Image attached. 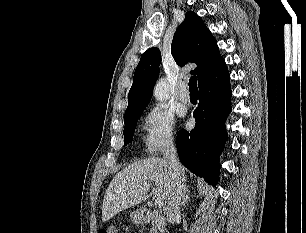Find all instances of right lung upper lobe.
Returning <instances> with one entry per match:
<instances>
[{
	"label": "right lung upper lobe",
	"instance_id": "obj_1",
	"mask_svg": "<svg viewBox=\"0 0 306 233\" xmlns=\"http://www.w3.org/2000/svg\"><path fill=\"white\" fill-rule=\"evenodd\" d=\"M171 53L180 66L188 62L197 64L191 74L197 75L199 84L226 66L211 32L202 19L191 11L186 13L184 21L174 34ZM160 58L158 48H150L142 55L134 73L124 117L145 109L148 105L159 75Z\"/></svg>",
	"mask_w": 306,
	"mask_h": 233
}]
</instances>
